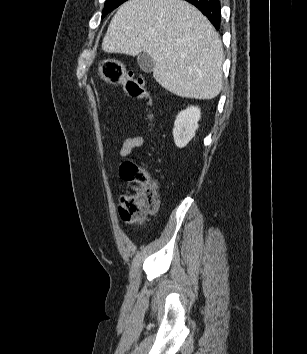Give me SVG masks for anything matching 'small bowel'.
<instances>
[{"label": "small bowel", "instance_id": "1", "mask_svg": "<svg viewBox=\"0 0 307 354\" xmlns=\"http://www.w3.org/2000/svg\"><path fill=\"white\" fill-rule=\"evenodd\" d=\"M145 143V138L142 135L129 137L123 141L121 148L118 151V156L120 158L127 157L135 148L143 146Z\"/></svg>", "mask_w": 307, "mask_h": 354}]
</instances>
